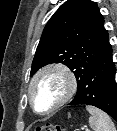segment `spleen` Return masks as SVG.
I'll return each instance as SVG.
<instances>
[{
    "label": "spleen",
    "mask_w": 117,
    "mask_h": 131,
    "mask_svg": "<svg viewBox=\"0 0 117 131\" xmlns=\"http://www.w3.org/2000/svg\"><path fill=\"white\" fill-rule=\"evenodd\" d=\"M86 110L90 114L89 124L93 131H117L111 118L105 112L93 106H86Z\"/></svg>",
    "instance_id": "3e777b00"
}]
</instances>
